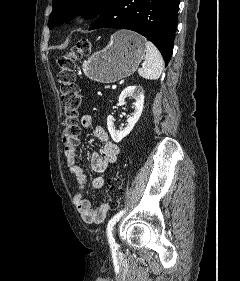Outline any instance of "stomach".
<instances>
[{
    "label": "stomach",
    "mask_w": 240,
    "mask_h": 281,
    "mask_svg": "<svg viewBox=\"0 0 240 281\" xmlns=\"http://www.w3.org/2000/svg\"><path fill=\"white\" fill-rule=\"evenodd\" d=\"M145 54V39L135 32L121 30L110 43L83 63L85 75L97 82L112 83L132 75Z\"/></svg>",
    "instance_id": "0dacf381"
}]
</instances>
